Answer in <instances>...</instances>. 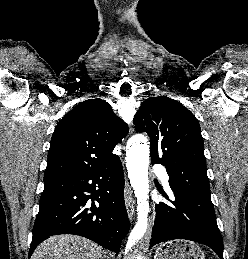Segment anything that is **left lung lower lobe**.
Instances as JSON below:
<instances>
[{
    "mask_svg": "<svg viewBox=\"0 0 248 259\" xmlns=\"http://www.w3.org/2000/svg\"><path fill=\"white\" fill-rule=\"evenodd\" d=\"M171 189L175 196V201H170L172 205L156 204L150 247L167 240L186 239L209 246L223 259V242L211 198Z\"/></svg>",
    "mask_w": 248,
    "mask_h": 259,
    "instance_id": "0a47b994",
    "label": "left lung lower lobe"
}]
</instances>
